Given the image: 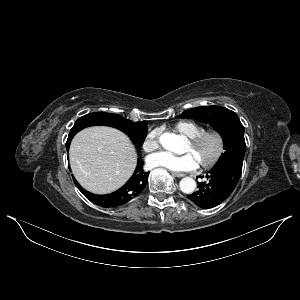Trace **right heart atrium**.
<instances>
[{"mask_svg":"<svg viewBox=\"0 0 300 300\" xmlns=\"http://www.w3.org/2000/svg\"><path fill=\"white\" fill-rule=\"evenodd\" d=\"M159 130L153 129L149 131L142 142V148L146 153H152L159 147Z\"/></svg>","mask_w":300,"mask_h":300,"instance_id":"right-heart-atrium-1","label":"right heart atrium"}]
</instances>
